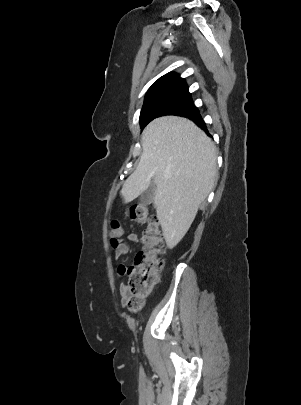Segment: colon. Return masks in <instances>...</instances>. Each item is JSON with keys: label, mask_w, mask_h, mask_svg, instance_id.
I'll return each instance as SVG.
<instances>
[{"label": "colon", "mask_w": 301, "mask_h": 405, "mask_svg": "<svg viewBox=\"0 0 301 405\" xmlns=\"http://www.w3.org/2000/svg\"><path fill=\"white\" fill-rule=\"evenodd\" d=\"M129 217L136 223L147 222V227L142 234L143 248L136 254L134 264L128 270L127 297L124 304L129 310L135 312L159 280L164 264L162 258L164 250L159 220L155 215H149L147 206H132ZM123 233L120 223L113 221L111 223L112 247Z\"/></svg>", "instance_id": "5ec220e1"}]
</instances>
